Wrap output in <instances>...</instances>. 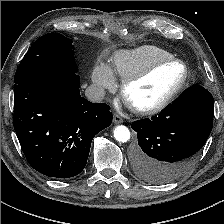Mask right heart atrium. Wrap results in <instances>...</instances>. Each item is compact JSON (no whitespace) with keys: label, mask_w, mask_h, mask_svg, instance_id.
Wrapping results in <instances>:
<instances>
[{"label":"right heart atrium","mask_w":224,"mask_h":224,"mask_svg":"<svg viewBox=\"0 0 224 224\" xmlns=\"http://www.w3.org/2000/svg\"><path fill=\"white\" fill-rule=\"evenodd\" d=\"M92 81L99 91L112 89L116 85V78L111 68L104 64H98L92 72Z\"/></svg>","instance_id":"d8ad5b80"}]
</instances>
